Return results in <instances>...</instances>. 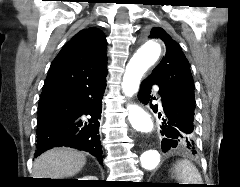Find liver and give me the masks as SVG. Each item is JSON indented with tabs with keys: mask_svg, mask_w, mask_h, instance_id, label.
Here are the masks:
<instances>
[{
	"mask_svg": "<svg viewBox=\"0 0 240 187\" xmlns=\"http://www.w3.org/2000/svg\"><path fill=\"white\" fill-rule=\"evenodd\" d=\"M86 163L84 153L68 147L53 148L33 163V178L62 179L78 173Z\"/></svg>",
	"mask_w": 240,
	"mask_h": 187,
	"instance_id": "1",
	"label": "liver"
}]
</instances>
